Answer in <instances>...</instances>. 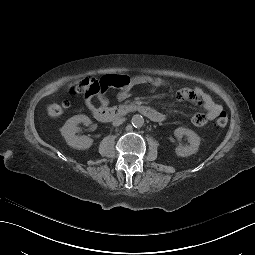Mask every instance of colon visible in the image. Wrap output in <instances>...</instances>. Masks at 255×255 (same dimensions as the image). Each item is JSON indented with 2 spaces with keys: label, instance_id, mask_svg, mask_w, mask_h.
<instances>
[{
  "label": "colon",
  "instance_id": "obj_1",
  "mask_svg": "<svg viewBox=\"0 0 255 255\" xmlns=\"http://www.w3.org/2000/svg\"><path fill=\"white\" fill-rule=\"evenodd\" d=\"M129 84V78L126 76L106 75L100 79L95 77H85L70 83L67 91L72 94L76 93H97L105 91L108 88H123ZM66 103H52L47 108V113L52 118L61 117L67 110ZM228 124V114L221 111L215 121V128L221 129Z\"/></svg>",
  "mask_w": 255,
  "mask_h": 255
}]
</instances>
